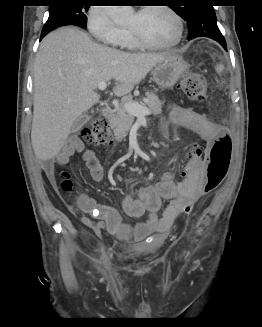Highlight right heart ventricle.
Instances as JSON below:
<instances>
[{
	"instance_id": "right-heart-ventricle-1",
	"label": "right heart ventricle",
	"mask_w": 262,
	"mask_h": 327,
	"mask_svg": "<svg viewBox=\"0 0 262 327\" xmlns=\"http://www.w3.org/2000/svg\"><path fill=\"white\" fill-rule=\"evenodd\" d=\"M123 47L127 49H137L139 47L129 31H127L124 38Z\"/></svg>"
}]
</instances>
